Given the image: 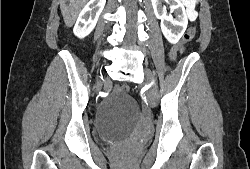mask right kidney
<instances>
[{
	"mask_svg": "<svg viewBox=\"0 0 250 169\" xmlns=\"http://www.w3.org/2000/svg\"><path fill=\"white\" fill-rule=\"evenodd\" d=\"M106 0H89L82 8L73 28L74 34L84 38L90 34L105 6Z\"/></svg>",
	"mask_w": 250,
	"mask_h": 169,
	"instance_id": "obj_1",
	"label": "right kidney"
}]
</instances>
